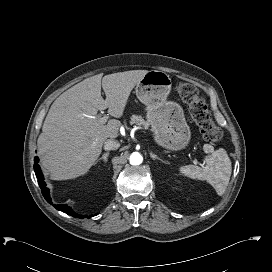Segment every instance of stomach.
Returning a JSON list of instances; mask_svg holds the SVG:
<instances>
[{"label": "stomach", "instance_id": "obj_1", "mask_svg": "<svg viewBox=\"0 0 272 272\" xmlns=\"http://www.w3.org/2000/svg\"><path fill=\"white\" fill-rule=\"evenodd\" d=\"M172 80L163 71L151 70L136 84L137 98L146 106L147 122L156 143L168 150L184 149L191 138L182 107L167 101Z\"/></svg>", "mask_w": 272, "mask_h": 272}]
</instances>
